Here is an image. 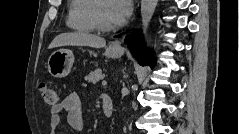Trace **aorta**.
I'll return each mask as SVG.
<instances>
[{"mask_svg":"<svg viewBox=\"0 0 239 134\" xmlns=\"http://www.w3.org/2000/svg\"><path fill=\"white\" fill-rule=\"evenodd\" d=\"M158 0H141L142 33L144 36L153 17Z\"/></svg>","mask_w":239,"mask_h":134,"instance_id":"aorta-1","label":"aorta"}]
</instances>
